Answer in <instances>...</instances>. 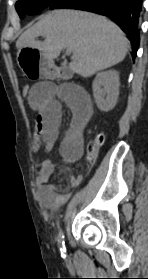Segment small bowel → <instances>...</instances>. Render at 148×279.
Here are the masks:
<instances>
[{
  "label": "small bowel",
  "mask_w": 148,
  "mask_h": 279,
  "mask_svg": "<svg viewBox=\"0 0 148 279\" xmlns=\"http://www.w3.org/2000/svg\"><path fill=\"white\" fill-rule=\"evenodd\" d=\"M27 99L36 113L33 152H38L42 146L46 151L54 147L62 119V104L65 103L72 109L73 117L61 140L59 151L66 163L78 161L84 152V132L93 113L88 93L74 84L39 82L31 87ZM55 172L56 165L51 160H45L41 163L36 179L39 200L46 207L64 204L70 198L71 190L82 180L80 175H69L59 183H51Z\"/></svg>",
  "instance_id": "small-bowel-1"
}]
</instances>
